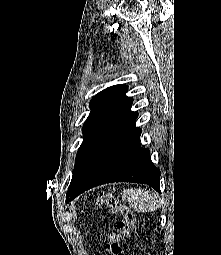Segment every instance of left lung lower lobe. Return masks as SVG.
Wrapping results in <instances>:
<instances>
[{
  "label": "left lung lower lobe",
  "instance_id": "0a47b994",
  "mask_svg": "<svg viewBox=\"0 0 221 255\" xmlns=\"http://www.w3.org/2000/svg\"><path fill=\"white\" fill-rule=\"evenodd\" d=\"M137 116L132 112L97 147L67 202L92 187L111 182L145 183L160 192V171L151 162L150 151L139 144Z\"/></svg>",
  "mask_w": 221,
  "mask_h": 255
}]
</instances>
